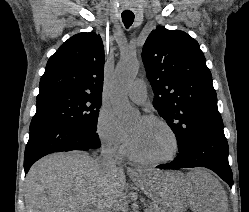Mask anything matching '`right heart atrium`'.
<instances>
[{"label": "right heart atrium", "instance_id": "d8ad5b80", "mask_svg": "<svg viewBox=\"0 0 249 212\" xmlns=\"http://www.w3.org/2000/svg\"><path fill=\"white\" fill-rule=\"evenodd\" d=\"M95 134L102 148L113 158L122 159L128 152L126 138L113 111L102 106L95 121Z\"/></svg>", "mask_w": 249, "mask_h": 212}]
</instances>
